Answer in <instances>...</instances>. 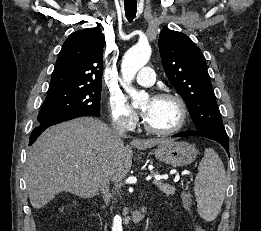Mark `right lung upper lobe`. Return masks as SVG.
<instances>
[{
  "instance_id": "cb5924a9",
  "label": "right lung upper lobe",
  "mask_w": 261,
  "mask_h": 231,
  "mask_svg": "<svg viewBox=\"0 0 261 231\" xmlns=\"http://www.w3.org/2000/svg\"><path fill=\"white\" fill-rule=\"evenodd\" d=\"M103 46L99 27L72 33L58 55L49 88L101 86Z\"/></svg>"
}]
</instances>
